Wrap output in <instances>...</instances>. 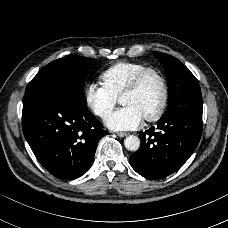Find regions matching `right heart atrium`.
<instances>
[{
    "mask_svg": "<svg viewBox=\"0 0 228 228\" xmlns=\"http://www.w3.org/2000/svg\"><path fill=\"white\" fill-rule=\"evenodd\" d=\"M85 103L98 117H104L117 103L115 98L104 85L90 82L85 88Z\"/></svg>",
    "mask_w": 228,
    "mask_h": 228,
    "instance_id": "right-heart-atrium-1",
    "label": "right heart atrium"
}]
</instances>
